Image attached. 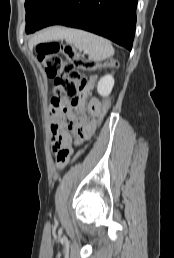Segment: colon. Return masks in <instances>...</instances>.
<instances>
[{
	"instance_id": "5ec220e1",
	"label": "colon",
	"mask_w": 174,
	"mask_h": 258,
	"mask_svg": "<svg viewBox=\"0 0 174 258\" xmlns=\"http://www.w3.org/2000/svg\"><path fill=\"white\" fill-rule=\"evenodd\" d=\"M36 51L47 76L53 80L54 97H60L62 94L75 97L78 92L80 71H94L100 68V65L82 58L71 44L47 42L37 45ZM105 66L114 68L116 62L107 61ZM110 105L109 98L101 103L98 125L106 117ZM84 151L85 149L80 150L74 157V161L78 160Z\"/></svg>"
}]
</instances>
